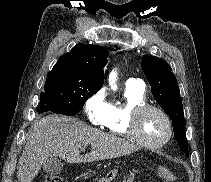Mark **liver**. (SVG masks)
I'll return each instance as SVG.
<instances>
[{"label": "liver", "mask_w": 211, "mask_h": 182, "mask_svg": "<svg viewBox=\"0 0 211 182\" xmlns=\"http://www.w3.org/2000/svg\"><path fill=\"white\" fill-rule=\"evenodd\" d=\"M88 145L92 151L80 155L79 149ZM138 149L136 145L92 128L77 118L48 115L37 121L29 133L17 176L20 182H32L45 161L56 156L68 163H88L121 157Z\"/></svg>", "instance_id": "6515ba94"}]
</instances>
